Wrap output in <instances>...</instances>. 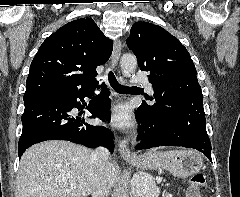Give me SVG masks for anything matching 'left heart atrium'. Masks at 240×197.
<instances>
[{
    "instance_id": "1",
    "label": "left heart atrium",
    "mask_w": 240,
    "mask_h": 197,
    "mask_svg": "<svg viewBox=\"0 0 240 197\" xmlns=\"http://www.w3.org/2000/svg\"><path fill=\"white\" fill-rule=\"evenodd\" d=\"M110 122L119 128L129 127L131 125V117L128 108L123 105L116 107L110 116Z\"/></svg>"
}]
</instances>
